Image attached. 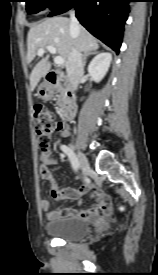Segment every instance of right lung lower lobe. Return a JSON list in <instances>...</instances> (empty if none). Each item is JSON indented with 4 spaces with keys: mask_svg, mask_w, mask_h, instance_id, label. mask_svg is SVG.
Segmentation results:
<instances>
[{
    "mask_svg": "<svg viewBox=\"0 0 158 275\" xmlns=\"http://www.w3.org/2000/svg\"><path fill=\"white\" fill-rule=\"evenodd\" d=\"M130 0H64L49 16L62 14L72 7L80 23L117 54L122 43L123 27Z\"/></svg>",
    "mask_w": 158,
    "mask_h": 275,
    "instance_id": "obj_1",
    "label": "right lung lower lobe"
}]
</instances>
